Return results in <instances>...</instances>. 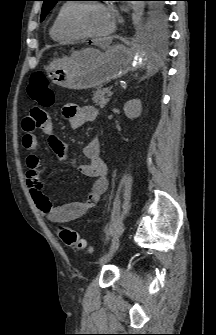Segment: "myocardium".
I'll list each match as a JSON object with an SVG mask.
<instances>
[{
  "label": "myocardium",
  "mask_w": 216,
  "mask_h": 335,
  "mask_svg": "<svg viewBox=\"0 0 216 335\" xmlns=\"http://www.w3.org/2000/svg\"><path fill=\"white\" fill-rule=\"evenodd\" d=\"M88 5H97L99 7L105 8V6L100 2H85V3L73 4V6L70 8L66 16V19H65L66 29L70 33L78 37H82V38H100V37H104L110 34L111 32H113L115 28L114 22H112L110 29H108L107 31L103 33L89 32V31H86L81 26L79 16H80L81 11Z\"/></svg>",
  "instance_id": "f54148a6"
}]
</instances>
